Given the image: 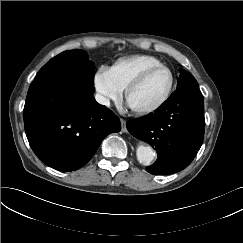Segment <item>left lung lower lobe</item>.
<instances>
[{
	"instance_id": "left-lung-lower-lobe-1",
	"label": "left lung lower lobe",
	"mask_w": 243,
	"mask_h": 243,
	"mask_svg": "<svg viewBox=\"0 0 243 243\" xmlns=\"http://www.w3.org/2000/svg\"><path fill=\"white\" fill-rule=\"evenodd\" d=\"M204 100L198 86L177 88L154 112L127 123L136 138L155 147L158 159L146 170L166 175L186 168L204 137Z\"/></svg>"
}]
</instances>
